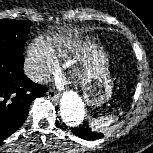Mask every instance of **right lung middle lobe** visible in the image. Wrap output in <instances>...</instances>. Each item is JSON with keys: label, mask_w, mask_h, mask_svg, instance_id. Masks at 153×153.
I'll use <instances>...</instances> for the list:
<instances>
[{"label": "right lung middle lobe", "mask_w": 153, "mask_h": 153, "mask_svg": "<svg viewBox=\"0 0 153 153\" xmlns=\"http://www.w3.org/2000/svg\"><path fill=\"white\" fill-rule=\"evenodd\" d=\"M31 25L32 22L23 20H0V53L22 55Z\"/></svg>", "instance_id": "obj_1"}]
</instances>
